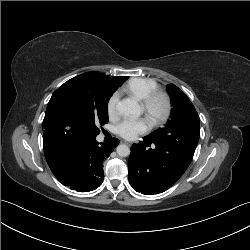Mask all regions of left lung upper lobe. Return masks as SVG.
<instances>
[{
    "label": "left lung upper lobe",
    "mask_w": 250,
    "mask_h": 250,
    "mask_svg": "<svg viewBox=\"0 0 250 250\" xmlns=\"http://www.w3.org/2000/svg\"><path fill=\"white\" fill-rule=\"evenodd\" d=\"M168 92L173 106L170 120L164 128H159L148 135L150 137H171L178 131L189 132L191 129L199 128L198 113L186 94L174 84L168 85Z\"/></svg>",
    "instance_id": "1"
}]
</instances>
